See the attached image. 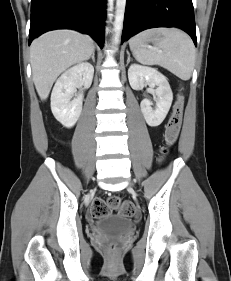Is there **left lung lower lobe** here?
Instances as JSON below:
<instances>
[{
    "instance_id": "left-lung-lower-lobe-1",
    "label": "left lung lower lobe",
    "mask_w": 231,
    "mask_h": 281,
    "mask_svg": "<svg viewBox=\"0 0 231 281\" xmlns=\"http://www.w3.org/2000/svg\"><path fill=\"white\" fill-rule=\"evenodd\" d=\"M177 27L197 45L192 0H127L122 43L143 30Z\"/></svg>"
}]
</instances>
